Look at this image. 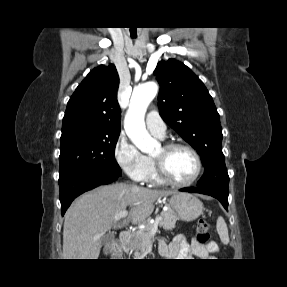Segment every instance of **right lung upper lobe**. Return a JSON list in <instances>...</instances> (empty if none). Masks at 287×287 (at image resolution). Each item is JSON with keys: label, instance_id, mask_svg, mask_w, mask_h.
I'll use <instances>...</instances> for the list:
<instances>
[{"label": "right lung upper lobe", "instance_id": "right-lung-upper-lobe-1", "mask_svg": "<svg viewBox=\"0 0 287 287\" xmlns=\"http://www.w3.org/2000/svg\"><path fill=\"white\" fill-rule=\"evenodd\" d=\"M118 86L119 76L113 64L90 71L68 101L62 130L80 124L102 130H120Z\"/></svg>", "mask_w": 287, "mask_h": 287}]
</instances>
